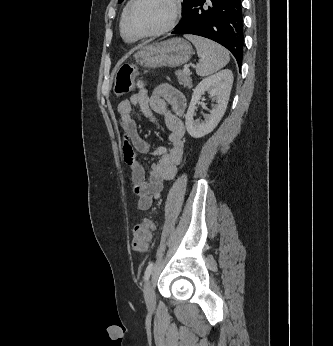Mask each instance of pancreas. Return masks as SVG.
Wrapping results in <instances>:
<instances>
[{"instance_id": "1", "label": "pancreas", "mask_w": 333, "mask_h": 346, "mask_svg": "<svg viewBox=\"0 0 333 346\" xmlns=\"http://www.w3.org/2000/svg\"><path fill=\"white\" fill-rule=\"evenodd\" d=\"M176 75L178 77V81L184 87L190 88L192 86V80L190 77V73H185L184 71L177 70Z\"/></svg>"}]
</instances>
